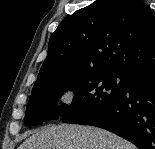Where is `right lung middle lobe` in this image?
<instances>
[{"mask_svg":"<svg viewBox=\"0 0 155 149\" xmlns=\"http://www.w3.org/2000/svg\"><path fill=\"white\" fill-rule=\"evenodd\" d=\"M128 74L103 72H66L34 84L29 98L25 125H39L60 115L63 122L82 124L103 113L125 90ZM73 90V105L56 102L66 90Z\"/></svg>","mask_w":155,"mask_h":149,"instance_id":"dd1d6c3e","label":"right lung middle lobe"}]
</instances>
